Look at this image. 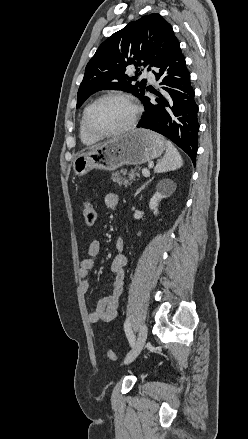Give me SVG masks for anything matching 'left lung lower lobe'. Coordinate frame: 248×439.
<instances>
[{
	"label": "left lung lower lobe",
	"instance_id": "0a47b994",
	"mask_svg": "<svg viewBox=\"0 0 248 439\" xmlns=\"http://www.w3.org/2000/svg\"><path fill=\"white\" fill-rule=\"evenodd\" d=\"M155 76L160 80L161 92L146 88L159 96L151 100L143 95L145 112L138 127L151 129L173 141L184 150L193 164L198 150V105L190 83V73L179 41H176L165 57L157 64ZM145 93V92H144Z\"/></svg>",
	"mask_w": 248,
	"mask_h": 439
}]
</instances>
